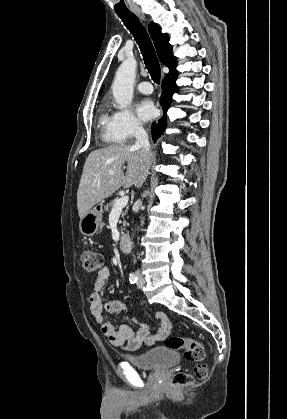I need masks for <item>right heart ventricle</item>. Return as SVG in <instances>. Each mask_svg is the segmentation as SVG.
Here are the masks:
<instances>
[{
    "instance_id": "right-heart-ventricle-1",
    "label": "right heart ventricle",
    "mask_w": 287,
    "mask_h": 419,
    "mask_svg": "<svg viewBox=\"0 0 287 419\" xmlns=\"http://www.w3.org/2000/svg\"><path fill=\"white\" fill-rule=\"evenodd\" d=\"M98 124L100 136L104 143L107 145H114L124 142L116 133L113 115L108 111L106 106H104L100 112Z\"/></svg>"
}]
</instances>
